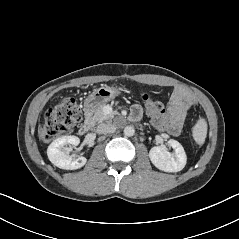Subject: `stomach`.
<instances>
[{"label": "stomach", "mask_w": 239, "mask_h": 239, "mask_svg": "<svg viewBox=\"0 0 239 239\" xmlns=\"http://www.w3.org/2000/svg\"><path fill=\"white\" fill-rule=\"evenodd\" d=\"M120 94V91L114 87L103 86L95 89L84 102V110L86 113H93L108 101L114 99Z\"/></svg>", "instance_id": "1"}]
</instances>
